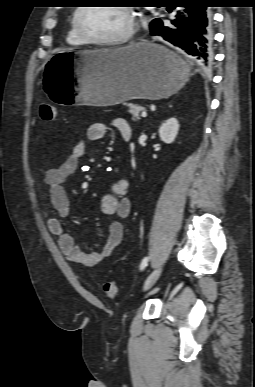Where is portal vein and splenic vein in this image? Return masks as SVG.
Segmentation results:
<instances>
[{"label": "portal vein and splenic vein", "instance_id": "18ae733b", "mask_svg": "<svg viewBox=\"0 0 255 387\" xmlns=\"http://www.w3.org/2000/svg\"><path fill=\"white\" fill-rule=\"evenodd\" d=\"M141 116L144 117V118L147 117L146 111H143L142 114H141Z\"/></svg>", "mask_w": 255, "mask_h": 387}]
</instances>
